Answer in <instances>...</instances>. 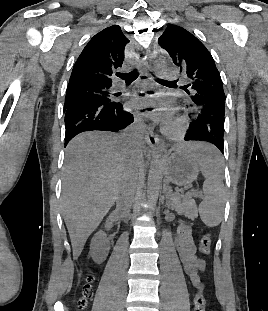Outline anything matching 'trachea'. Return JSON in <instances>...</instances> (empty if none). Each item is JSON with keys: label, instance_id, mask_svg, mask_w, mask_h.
<instances>
[{"label": "trachea", "instance_id": "obj_1", "mask_svg": "<svg viewBox=\"0 0 268 311\" xmlns=\"http://www.w3.org/2000/svg\"><path fill=\"white\" fill-rule=\"evenodd\" d=\"M118 77H120L121 79L125 80L126 83H131L133 82L135 79H137L139 73L137 71V69L131 71L130 73H117L116 74ZM160 82H169L167 80H163V79H159Z\"/></svg>", "mask_w": 268, "mask_h": 311}]
</instances>
